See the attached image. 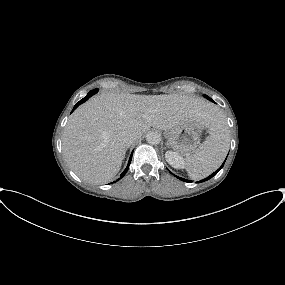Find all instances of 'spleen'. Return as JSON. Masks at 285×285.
<instances>
[{
	"label": "spleen",
	"mask_w": 285,
	"mask_h": 285,
	"mask_svg": "<svg viewBox=\"0 0 285 285\" xmlns=\"http://www.w3.org/2000/svg\"><path fill=\"white\" fill-rule=\"evenodd\" d=\"M230 146V134L224 116L218 112L215 126L196 152L185 159L189 177L199 180L213 173L222 164Z\"/></svg>",
	"instance_id": "spleen-1"
}]
</instances>
